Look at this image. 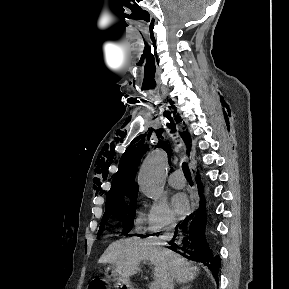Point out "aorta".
<instances>
[{"mask_svg": "<svg viewBox=\"0 0 289 289\" xmlns=\"http://www.w3.org/2000/svg\"><path fill=\"white\" fill-rule=\"evenodd\" d=\"M166 170L167 155L164 150L156 149L141 165L138 175L140 191L151 199H159L163 193Z\"/></svg>", "mask_w": 289, "mask_h": 289, "instance_id": "aorta-1", "label": "aorta"}]
</instances>
